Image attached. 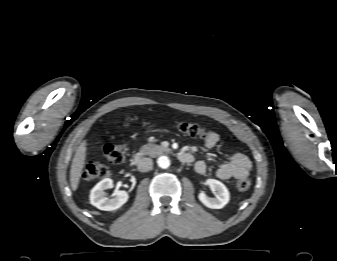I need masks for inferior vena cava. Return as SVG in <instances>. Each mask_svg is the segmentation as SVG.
Listing matches in <instances>:
<instances>
[{
    "mask_svg": "<svg viewBox=\"0 0 337 261\" xmlns=\"http://www.w3.org/2000/svg\"><path fill=\"white\" fill-rule=\"evenodd\" d=\"M152 166H153L152 159L151 158H146V157L141 158L139 160V162H138V165H137L138 170L140 172H147V171H149V170L152 169Z\"/></svg>",
    "mask_w": 337,
    "mask_h": 261,
    "instance_id": "602c4592",
    "label": "inferior vena cava"
}]
</instances>
